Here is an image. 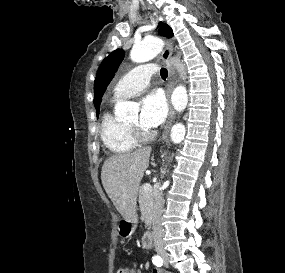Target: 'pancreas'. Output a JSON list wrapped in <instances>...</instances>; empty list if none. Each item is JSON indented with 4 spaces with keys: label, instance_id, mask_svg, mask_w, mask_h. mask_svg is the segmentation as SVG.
Returning <instances> with one entry per match:
<instances>
[{
    "label": "pancreas",
    "instance_id": "obj_1",
    "mask_svg": "<svg viewBox=\"0 0 285 273\" xmlns=\"http://www.w3.org/2000/svg\"><path fill=\"white\" fill-rule=\"evenodd\" d=\"M153 197H154V193H153L152 188L149 191H145L143 187H140L139 204H140V210L144 216L146 227L150 226V222H151Z\"/></svg>",
    "mask_w": 285,
    "mask_h": 273
}]
</instances>
